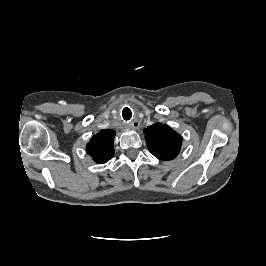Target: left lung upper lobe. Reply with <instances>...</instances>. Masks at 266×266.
I'll use <instances>...</instances> for the list:
<instances>
[{"label":"left lung upper lobe","instance_id":"left-lung-upper-lobe-1","mask_svg":"<svg viewBox=\"0 0 266 266\" xmlns=\"http://www.w3.org/2000/svg\"><path fill=\"white\" fill-rule=\"evenodd\" d=\"M144 133L149 151L158 159L168 161L179 154L182 137L168 125L155 123Z\"/></svg>","mask_w":266,"mask_h":266}]
</instances>
